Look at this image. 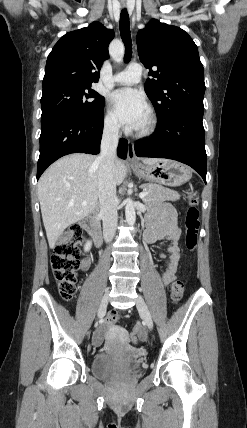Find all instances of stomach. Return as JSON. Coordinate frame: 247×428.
I'll return each mask as SVG.
<instances>
[{"mask_svg": "<svg viewBox=\"0 0 247 428\" xmlns=\"http://www.w3.org/2000/svg\"><path fill=\"white\" fill-rule=\"evenodd\" d=\"M133 170L139 178L172 187L183 185L192 176L190 167L172 160L160 161L152 165L140 164Z\"/></svg>", "mask_w": 247, "mask_h": 428, "instance_id": "1", "label": "stomach"}]
</instances>
